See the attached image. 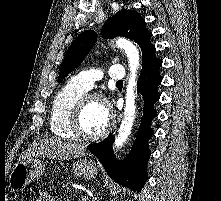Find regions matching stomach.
<instances>
[{
	"label": "stomach",
	"mask_w": 221,
	"mask_h": 201,
	"mask_svg": "<svg viewBox=\"0 0 221 201\" xmlns=\"http://www.w3.org/2000/svg\"><path fill=\"white\" fill-rule=\"evenodd\" d=\"M46 163L38 158L18 161L9 176V186L13 191H20L45 172ZM74 174L83 179H93L97 175L95 164L88 159H80L73 164Z\"/></svg>",
	"instance_id": "obj_1"
}]
</instances>
